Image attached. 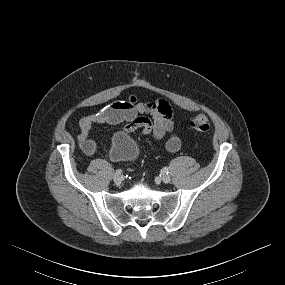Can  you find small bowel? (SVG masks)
I'll return each mask as SVG.
<instances>
[{
  "mask_svg": "<svg viewBox=\"0 0 285 285\" xmlns=\"http://www.w3.org/2000/svg\"><path fill=\"white\" fill-rule=\"evenodd\" d=\"M104 123H125V132L140 130L141 135H151L154 141L166 138L165 147L170 153L177 152L181 147V140L175 133L171 107L163 99L141 102L132 95L125 101L112 102L83 117L79 122L77 139L86 154H94L97 148L89 138L92 126Z\"/></svg>",
  "mask_w": 285,
  "mask_h": 285,
  "instance_id": "1",
  "label": "small bowel"
}]
</instances>
